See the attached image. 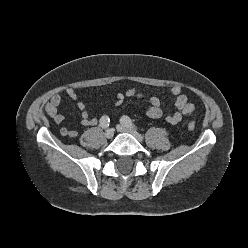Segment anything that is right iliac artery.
Instances as JSON below:
<instances>
[{
	"label": "right iliac artery",
	"mask_w": 248,
	"mask_h": 248,
	"mask_svg": "<svg viewBox=\"0 0 248 248\" xmlns=\"http://www.w3.org/2000/svg\"><path fill=\"white\" fill-rule=\"evenodd\" d=\"M110 118L106 115L102 116L100 119V126L105 129L109 126Z\"/></svg>",
	"instance_id": "right-iliac-artery-1"
}]
</instances>
